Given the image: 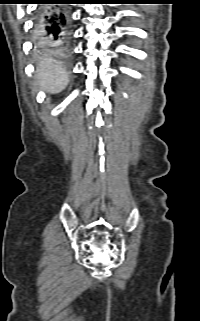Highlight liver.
Segmentation results:
<instances>
[{
  "label": "liver",
  "instance_id": "1",
  "mask_svg": "<svg viewBox=\"0 0 200 321\" xmlns=\"http://www.w3.org/2000/svg\"><path fill=\"white\" fill-rule=\"evenodd\" d=\"M36 78L41 88L50 93H59L68 84V74L61 63L45 56L37 64Z\"/></svg>",
  "mask_w": 200,
  "mask_h": 321
}]
</instances>
